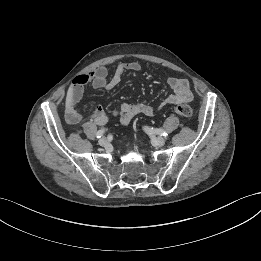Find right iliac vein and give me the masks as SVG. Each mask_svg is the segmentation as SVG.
Masks as SVG:
<instances>
[{"instance_id":"63e3f726","label":"right iliac vein","mask_w":261,"mask_h":261,"mask_svg":"<svg viewBox=\"0 0 261 261\" xmlns=\"http://www.w3.org/2000/svg\"><path fill=\"white\" fill-rule=\"evenodd\" d=\"M98 143H99L100 146H106L107 143H108V141H107V139H106L105 137H102V138L99 140Z\"/></svg>"}]
</instances>
